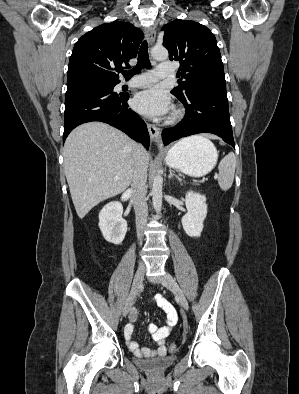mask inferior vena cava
I'll return each mask as SVG.
<instances>
[{
	"label": "inferior vena cava",
	"mask_w": 299,
	"mask_h": 394,
	"mask_svg": "<svg viewBox=\"0 0 299 394\" xmlns=\"http://www.w3.org/2000/svg\"><path fill=\"white\" fill-rule=\"evenodd\" d=\"M136 155L134 160V171L131 185V200L134 205L136 215V229L138 239H142V232L147 223L148 206H147V168L148 163L144 156V148L136 144Z\"/></svg>",
	"instance_id": "1"
}]
</instances>
